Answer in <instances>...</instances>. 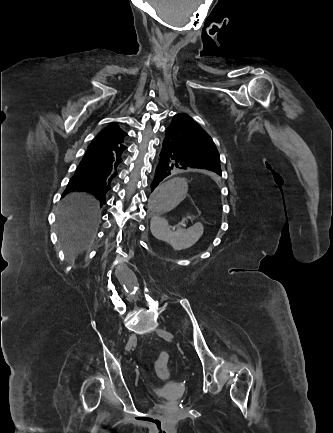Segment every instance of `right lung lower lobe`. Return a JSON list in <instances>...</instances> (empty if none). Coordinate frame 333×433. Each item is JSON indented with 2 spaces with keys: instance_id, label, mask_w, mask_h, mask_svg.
<instances>
[{
  "instance_id": "obj_1",
  "label": "right lung lower lobe",
  "mask_w": 333,
  "mask_h": 433,
  "mask_svg": "<svg viewBox=\"0 0 333 433\" xmlns=\"http://www.w3.org/2000/svg\"><path fill=\"white\" fill-rule=\"evenodd\" d=\"M125 145L100 146L95 139L69 181L64 194L72 191H86L97 195L101 206L106 203L105 195L111 189L113 179L118 174ZM63 194V195H64Z\"/></svg>"
}]
</instances>
